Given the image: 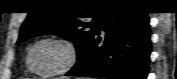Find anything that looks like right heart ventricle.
Here are the masks:
<instances>
[{
	"mask_svg": "<svg viewBox=\"0 0 177 79\" xmlns=\"http://www.w3.org/2000/svg\"><path fill=\"white\" fill-rule=\"evenodd\" d=\"M26 69H27V71H31L28 64H27V60H26Z\"/></svg>",
	"mask_w": 177,
	"mask_h": 79,
	"instance_id": "e07e8e85",
	"label": "right heart ventricle"
}]
</instances>
